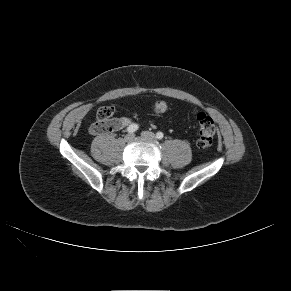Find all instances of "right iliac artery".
I'll return each instance as SVG.
<instances>
[{"label": "right iliac artery", "instance_id": "1", "mask_svg": "<svg viewBox=\"0 0 291 291\" xmlns=\"http://www.w3.org/2000/svg\"><path fill=\"white\" fill-rule=\"evenodd\" d=\"M139 128V126L137 124H131L127 127V132L128 133H134L135 131H137Z\"/></svg>", "mask_w": 291, "mask_h": 291}]
</instances>
